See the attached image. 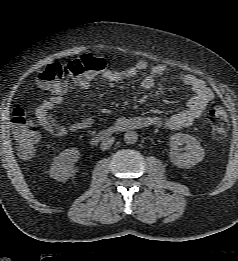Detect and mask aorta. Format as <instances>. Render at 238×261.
Listing matches in <instances>:
<instances>
[{"label": "aorta", "instance_id": "1", "mask_svg": "<svg viewBox=\"0 0 238 261\" xmlns=\"http://www.w3.org/2000/svg\"><path fill=\"white\" fill-rule=\"evenodd\" d=\"M137 140H138V134L134 131H127L124 134V141L127 144H134L137 142Z\"/></svg>", "mask_w": 238, "mask_h": 261}]
</instances>
